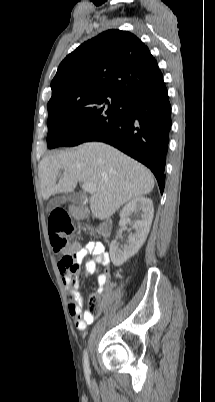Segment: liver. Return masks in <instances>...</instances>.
Returning a JSON list of instances; mask_svg holds the SVG:
<instances>
[{"label":"liver","mask_w":215,"mask_h":402,"mask_svg":"<svg viewBox=\"0 0 215 402\" xmlns=\"http://www.w3.org/2000/svg\"><path fill=\"white\" fill-rule=\"evenodd\" d=\"M60 170L63 175L57 182ZM39 178L45 200L51 195L73 192L77 182L93 184L95 192L90 198V208L99 220L110 218L123 204L154 188L150 170L100 142L85 143L43 158Z\"/></svg>","instance_id":"1"}]
</instances>
